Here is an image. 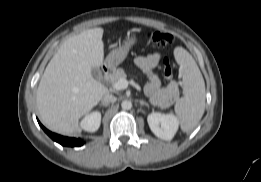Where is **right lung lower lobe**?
Returning <instances> with one entry per match:
<instances>
[{
	"instance_id": "1",
	"label": "right lung lower lobe",
	"mask_w": 261,
	"mask_h": 182,
	"mask_svg": "<svg viewBox=\"0 0 261 182\" xmlns=\"http://www.w3.org/2000/svg\"><path fill=\"white\" fill-rule=\"evenodd\" d=\"M38 123L42 127V129L56 142L63 146H70V147H75V146H81L83 145V142H81L79 139L75 138H69V137H63L58 134L52 133L49 130H47L38 120Z\"/></svg>"
}]
</instances>
